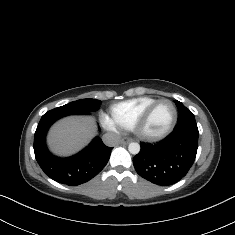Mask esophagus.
<instances>
[{"mask_svg": "<svg viewBox=\"0 0 235 235\" xmlns=\"http://www.w3.org/2000/svg\"><path fill=\"white\" fill-rule=\"evenodd\" d=\"M132 141L133 140L131 138L125 137V138L121 139L120 143L123 145H127V144L131 143Z\"/></svg>", "mask_w": 235, "mask_h": 235, "instance_id": "1", "label": "esophagus"}]
</instances>
